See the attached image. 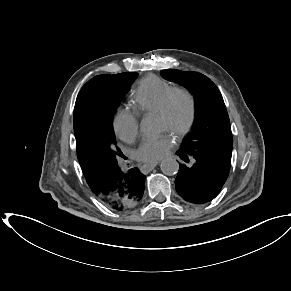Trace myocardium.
<instances>
[{
	"label": "myocardium",
	"mask_w": 291,
	"mask_h": 291,
	"mask_svg": "<svg viewBox=\"0 0 291 291\" xmlns=\"http://www.w3.org/2000/svg\"><path fill=\"white\" fill-rule=\"evenodd\" d=\"M180 100H183L187 110V118L182 125L174 124V116L179 107ZM158 117L163 119L168 130L176 137L182 138L193 129L197 118V104L194 94L185 87H175L167 96L164 105L157 112Z\"/></svg>",
	"instance_id": "1"
}]
</instances>
